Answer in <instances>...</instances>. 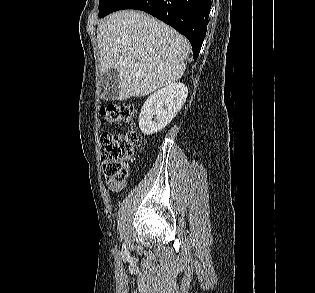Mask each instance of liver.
<instances>
[{
    "instance_id": "6515ba94",
    "label": "liver",
    "mask_w": 315,
    "mask_h": 293,
    "mask_svg": "<svg viewBox=\"0 0 315 293\" xmlns=\"http://www.w3.org/2000/svg\"><path fill=\"white\" fill-rule=\"evenodd\" d=\"M97 40L101 75L110 68L118 71L120 101L175 83L190 52L188 40L172 27L134 10L118 11L101 21Z\"/></svg>"
}]
</instances>
